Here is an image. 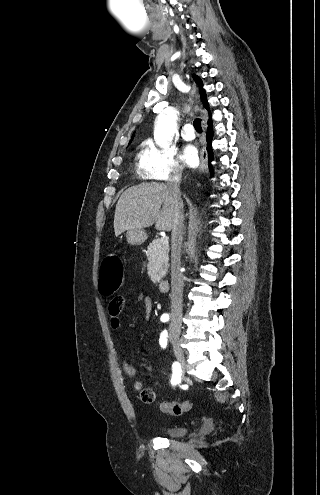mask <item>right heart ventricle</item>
I'll list each match as a JSON object with an SVG mask.
<instances>
[{
  "label": "right heart ventricle",
  "mask_w": 320,
  "mask_h": 495,
  "mask_svg": "<svg viewBox=\"0 0 320 495\" xmlns=\"http://www.w3.org/2000/svg\"><path fill=\"white\" fill-rule=\"evenodd\" d=\"M142 159H143V153L138 155V167L141 170L142 174L144 175L143 169H142Z\"/></svg>",
  "instance_id": "right-heart-ventricle-1"
}]
</instances>
